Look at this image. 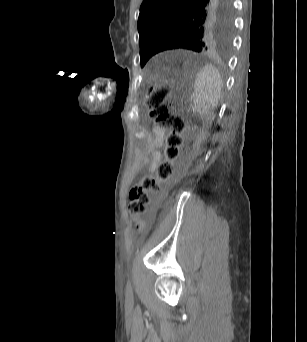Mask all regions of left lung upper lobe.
Segmentation results:
<instances>
[{
	"label": "left lung upper lobe",
	"mask_w": 307,
	"mask_h": 342,
	"mask_svg": "<svg viewBox=\"0 0 307 342\" xmlns=\"http://www.w3.org/2000/svg\"><path fill=\"white\" fill-rule=\"evenodd\" d=\"M231 0H144L138 32L141 66L170 49L226 53L231 45Z\"/></svg>",
	"instance_id": "1"
}]
</instances>
